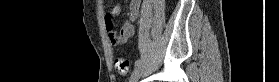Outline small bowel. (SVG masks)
<instances>
[{
    "mask_svg": "<svg viewBox=\"0 0 279 82\" xmlns=\"http://www.w3.org/2000/svg\"><path fill=\"white\" fill-rule=\"evenodd\" d=\"M140 8V0H132L130 2L129 21L119 30H115L112 18L120 14L121 8L119 5H115L110 9L105 16V25L111 45L119 46L124 44L134 34V22L139 15Z\"/></svg>",
    "mask_w": 279,
    "mask_h": 82,
    "instance_id": "c3829d8e",
    "label": "small bowel"
}]
</instances>
